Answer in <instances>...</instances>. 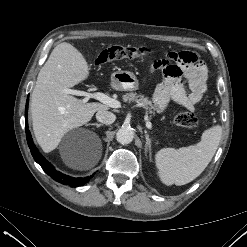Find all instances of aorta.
I'll use <instances>...</instances> for the list:
<instances>
[{
	"label": "aorta",
	"instance_id": "762f6f07",
	"mask_svg": "<svg viewBox=\"0 0 247 247\" xmlns=\"http://www.w3.org/2000/svg\"><path fill=\"white\" fill-rule=\"evenodd\" d=\"M134 138V130L130 127H122L116 133V140L120 144H129Z\"/></svg>",
	"mask_w": 247,
	"mask_h": 247
}]
</instances>
